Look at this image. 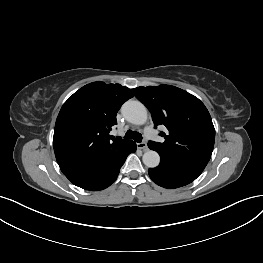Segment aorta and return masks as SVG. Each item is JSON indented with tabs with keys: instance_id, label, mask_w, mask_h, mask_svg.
<instances>
[{
	"instance_id": "762f6f07",
	"label": "aorta",
	"mask_w": 263,
	"mask_h": 263,
	"mask_svg": "<svg viewBox=\"0 0 263 263\" xmlns=\"http://www.w3.org/2000/svg\"><path fill=\"white\" fill-rule=\"evenodd\" d=\"M123 116L132 124L143 125L146 123L148 113L146 107L139 101L129 100L121 108ZM143 163L149 167H157L160 163V156L156 151L149 150L143 154Z\"/></svg>"
}]
</instances>
